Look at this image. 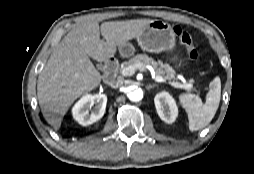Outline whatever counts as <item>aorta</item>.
<instances>
[{"label": "aorta", "mask_w": 254, "mask_h": 174, "mask_svg": "<svg viewBox=\"0 0 254 174\" xmlns=\"http://www.w3.org/2000/svg\"><path fill=\"white\" fill-rule=\"evenodd\" d=\"M127 97L133 102H138L143 98V91L137 86H130L127 90Z\"/></svg>", "instance_id": "obj_1"}]
</instances>
